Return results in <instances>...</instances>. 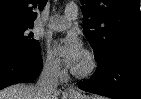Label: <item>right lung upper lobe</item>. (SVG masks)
I'll return each instance as SVG.
<instances>
[{
  "label": "right lung upper lobe",
  "mask_w": 141,
  "mask_h": 99,
  "mask_svg": "<svg viewBox=\"0 0 141 99\" xmlns=\"http://www.w3.org/2000/svg\"><path fill=\"white\" fill-rule=\"evenodd\" d=\"M46 2L47 0H0V23H34L37 13L33 10H42Z\"/></svg>",
  "instance_id": "right-lung-upper-lobe-1"
}]
</instances>
